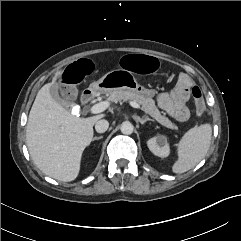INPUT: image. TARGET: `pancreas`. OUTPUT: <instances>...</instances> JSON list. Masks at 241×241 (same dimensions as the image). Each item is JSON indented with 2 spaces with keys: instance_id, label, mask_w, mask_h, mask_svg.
Listing matches in <instances>:
<instances>
[{
  "instance_id": "obj_1",
  "label": "pancreas",
  "mask_w": 241,
  "mask_h": 241,
  "mask_svg": "<svg viewBox=\"0 0 241 241\" xmlns=\"http://www.w3.org/2000/svg\"><path fill=\"white\" fill-rule=\"evenodd\" d=\"M108 99L115 103L121 102V101L136 102L142 106V110L146 114L150 115L158 123H160L166 128L176 130V131L178 130V127L174 123H172L169 120V118L165 116V114L162 115V113L156 107L155 101L152 99V97H148L142 94H137L125 89H119V90L112 91Z\"/></svg>"
}]
</instances>
